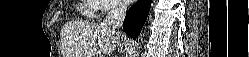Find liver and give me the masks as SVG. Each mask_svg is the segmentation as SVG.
Instances as JSON below:
<instances>
[{"label":"liver","instance_id":"liver-1","mask_svg":"<svg viewBox=\"0 0 249 57\" xmlns=\"http://www.w3.org/2000/svg\"><path fill=\"white\" fill-rule=\"evenodd\" d=\"M61 38L64 57H96L98 51L112 55L120 35L102 24L71 22L63 27Z\"/></svg>","mask_w":249,"mask_h":57}]
</instances>
